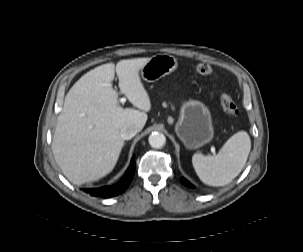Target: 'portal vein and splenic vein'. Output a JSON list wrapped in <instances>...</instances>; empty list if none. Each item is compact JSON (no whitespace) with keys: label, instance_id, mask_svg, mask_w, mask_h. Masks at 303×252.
<instances>
[{"label":"portal vein and splenic vein","instance_id":"1","mask_svg":"<svg viewBox=\"0 0 303 252\" xmlns=\"http://www.w3.org/2000/svg\"><path fill=\"white\" fill-rule=\"evenodd\" d=\"M120 102L122 103V104H124L125 102H126V98L125 97H123V98H121L120 99ZM212 152L214 153L215 152V150L212 148Z\"/></svg>","mask_w":303,"mask_h":252}]
</instances>
